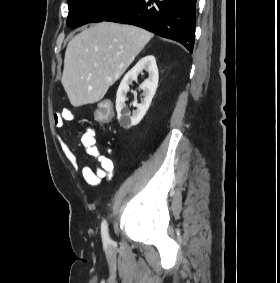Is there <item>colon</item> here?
<instances>
[{"label": "colon", "mask_w": 280, "mask_h": 283, "mask_svg": "<svg viewBox=\"0 0 280 283\" xmlns=\"http://www.w3.org/2000/svg\"><path fill=\"white\" fill-rule=\"evenodd\" d=\"M113 112L114 107H111L109 102L103 101L97 111L94 112V120H97L98 124H109ZM86 132H95V127H86Z\"/></svg>", "instance_id": "5ec220e1"}]
</instances>
